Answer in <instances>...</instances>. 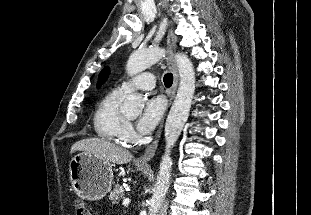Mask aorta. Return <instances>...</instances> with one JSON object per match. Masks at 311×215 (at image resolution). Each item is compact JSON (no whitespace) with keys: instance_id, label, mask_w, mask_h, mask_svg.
Here are the masks:
<instances>
[{"instance_id":"aorta-1","label":"aorta","mask_w":311,"mask_h":215,"mask_svg":"<svg viewBox=\"0 0 311 215\" xmlns=\"http://www.w3.org/2000/svg\"><path fill=\"white\" fill-rule=\"evenodd\" d=\"M165 56V50L151 47L134 51L126 65L130 76L136 75ZM175 60L179 72L180 82L177 95L172 104L165 124V153L162 156L154 192L149 203V215H158L170 185L172 170L171 149L178 140L188 119L195 92V72L193 64L187 55L177 53ZM145 99L138 94H130L122 105V112L127 116H136L142 112Z\"/></svg>"}]
</instances>
